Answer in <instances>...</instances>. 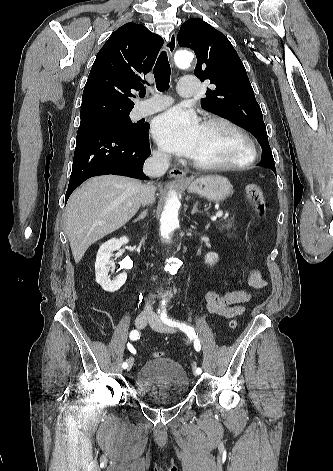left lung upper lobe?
<instances>
[{
	"instance_id": "1",
	"label": "left lung upper lobe",
	"mask_w": 333,
	"mask_h": 471,
	"mask_svg": "<svg viewBox=\"0 0 333 471\" xmlns=\"http://www.w3.org/2000/svg\"><path fill=\"white\" fill-rule=\"evenodd\" d=\"M177 38L180 46L191 48L197 56L195 75L215 85L201 100L203 108L248 129L262 148L261 161L274 165L260 106L245 67L227 37L202 19L192 18L180 27Z\"/></svg>"
}]
</instances>
